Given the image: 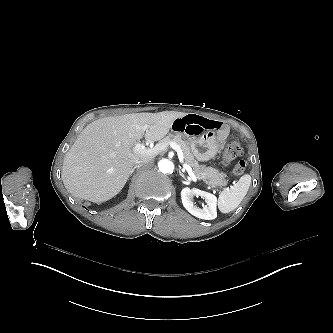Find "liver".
Listing matches in <instances>:
<instances>
[{
    "instance_id": "liver-1",
    "label": "liver",
    "mask_w": 333,
    "mask_h": 333,
    "mask_svg": "<svg viewBox=\"0 0 333 333\" xmlns=\"http://www.w3.org/2000/svg\"><path fill=\"white\" fill-rule=\"evenodd\" d=\"M187 113L164 111L104 117L88 124L65 154L62 181L75 198L104 203L124 188L137 160L146 157L134 151L143 136L162 140L176 119ZM144 125H148L146 131Z\"/></svg>"
}]
</instances>
